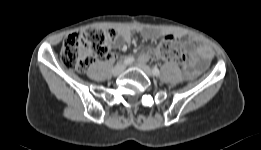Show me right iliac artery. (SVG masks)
<instances>
[{
    "instance_id": "obj_1",
    "label": "right iliac artery",
    "mask_w": 261,
    "mask_h": 150,
    "mask_svg": "<svg viewBox=\"0 0 261 150\" xmlns=\"http://www.w3.org/2000/svg\"><path fill=\"white\" fill-rule=\"evenodd\" d=\"M134 61V58L133 57H127V58H125V60H124V64L125 65H128V64H130V63H132Z\"/></svg>"
}]
</instances>
